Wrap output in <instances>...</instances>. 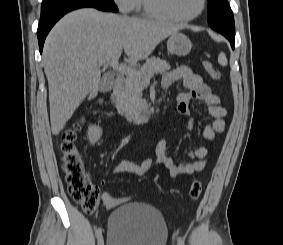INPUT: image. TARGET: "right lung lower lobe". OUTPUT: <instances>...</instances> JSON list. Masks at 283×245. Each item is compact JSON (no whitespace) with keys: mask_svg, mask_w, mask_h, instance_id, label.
<instances>
[{"mask_svg":"<svg viewBox=\"0 0 283 245\" xmlns=\"http://www.w3.org/2000/svg\"><path fill=\"white\" fill-rule=\"evenodd\" d=\"M84 7H93L102 11H111V12L118 11V8L114 4V2L87 0V1L73 2L41 13L38 30H37L40 53L42 52L45 38L49 33V31L51 30V28L54 26V24L66 13Z\"/></svg>","mask_w":283,"mask_h":245,"instance_id":"right-lung-lower-lobe-1","label":"right lung lower lobe"}]
</instances>
